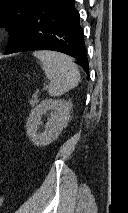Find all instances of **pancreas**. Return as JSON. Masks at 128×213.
<instances>
[{
	"label": "pancreas",
	"instance_id": "pancreas-1",
	"mask_svg": "<svg viewBox=\"0 0 128 213\" xmlns=\"http://www.w3.org/2000/svg\"><path fill=\"white\" fill-rule=\"evenodd\" d=\"M38 102L39 100L37 99V97H32V99L29 100V106L34 107Z\"/></svg>",
	"mask_w": 128,
	"mask_h": 213
}]
</instances>
